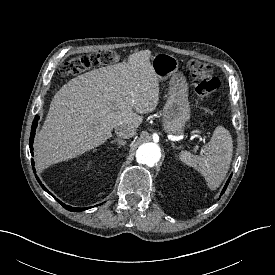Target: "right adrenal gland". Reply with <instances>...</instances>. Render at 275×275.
Here are the masks:
<instances>
[{
	"label": "right adrenal gland",
	"mask_w": 275,
	"mask_h": 275,
	"mask_svg": "<svg viewBox=\"0 0 275 275\" xmlns=\"http://www.w3.org/2000/svg\"><path fill=\"white\" fill-rule=\"evenodd\" d=\"M110 143H118V146L121 147V146H124L126 144V141H124L120 138H117V139L112 140Z\"/></svg>",
	"instance_id": "1"
}]
</instances>
